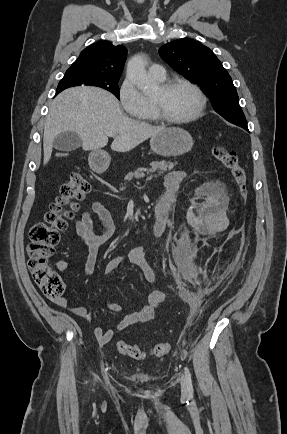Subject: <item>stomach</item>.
<instances>
[{
	"label": "stomach",
	"instance_id": "obj_1",
	"mask_svg": "<svg viewBox=\"0 0 287 434\" xmlns=\"http://www.w3.org/2000/svg\"><path fill=\"white\" fill-rule=\"evenodd\" d=\"M190 133L178 127H170L151 137V150L161 156H179L189 152L193 147ZM89 161L94 167L106 168L111 161L109 154L103 150L90 153Z\"/></svg>",
	"mask_w": 287,
	"mask_h": 434
}]
</instances>
